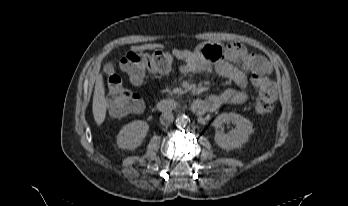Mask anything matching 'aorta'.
<instances>
[{"instance_id":"obj_1","label":"aorta","mask_w":348,"mask_h":206,"mask_svg":"<svg viewBox=\"0 0 348 206\" xmlns=\"http://www.w3.org/2000/svg\"><path fill=\"white\" fill-rule=\"evenodd\" d=\"M190 123V118L187 115H179L176 118V126L178 128H184L186 126H188Z\"/></svg>"}]
</instances>
